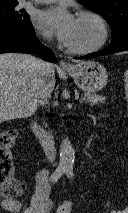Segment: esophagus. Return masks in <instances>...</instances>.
Segmentation results:
<instances>
[{
  "label": "esophagus",
  "instance_id": "esophagus-1",
  "mask_svg": "<svg viewBox=\"0 0 128 213\" xmlns=\"http://www.w3.org/2000/svg\"><path fill=\"white\" fill-rule=\"evenodd\" d=\"M59 65L63 69H70L72 67V65L70 63L63 61V60L59 61Z\"/></svg>",
  "mask_w": 128,
  "mask_h": 213
}]
</instances>
